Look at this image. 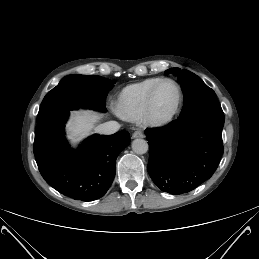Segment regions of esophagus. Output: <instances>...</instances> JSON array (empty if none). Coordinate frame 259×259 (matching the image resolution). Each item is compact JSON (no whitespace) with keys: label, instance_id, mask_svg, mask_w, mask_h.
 <instances>
[{"label":"esophagus","instance_id":"34e87169","mask_svg":"<svg viewBox=\"0 0 259 259\" xmlns=\"http://www.w3.org/2000/svg\"><path fill=\"white\" fill-rule=\"evenodd\" d=\"M144 134L140 130H136L132 134V138H143Z\"/></svg>","mask_w":259,"mask_h":259}]
</instances>
